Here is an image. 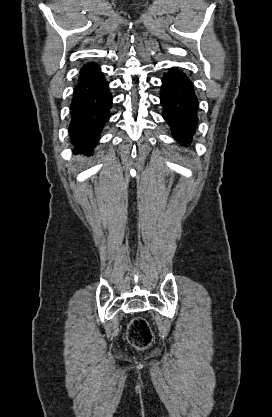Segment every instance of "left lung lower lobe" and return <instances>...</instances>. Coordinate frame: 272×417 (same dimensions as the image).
Returning <instances> with one entry per match:
<instances>
[{
  "mask_svg": "<svg viewBox=\"0 0 272 417\" xmlns=\"http://www.w3.org/2000/svg\"><path fill=\"white\" fill-rule=\"evenodd\" d=\"M161 104L163 117L177 141L187 142L198 125V98L189 77L182 71L169 70L162 78Z\"/></svg>",
  "mask_w": 272,
  "mask_h": 417,
  "instance_id": "0a47b994",
  "label": "left lung lower lobe"
}]
</instances>
